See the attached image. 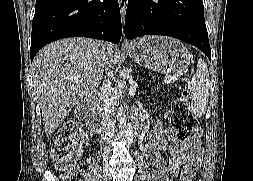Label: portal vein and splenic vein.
Segmentation results:
<instances>
[{
	"label": "portal vein and splenic vein",
	"instance_id": "obj_1",
	"mask_svg": "<svg viewBox=\"0 0 253 181\" xmlns=\"http://www.w3.org/2000/svg\"><path fill=\"white\" fill-rule=\"evenodd\" d=\"M178 77H179V75L171 76L167 82L175 81V80H177Z\"/></svg>",
	"mask_w": 253,
	"mask_h": 181
}]
</instances>
